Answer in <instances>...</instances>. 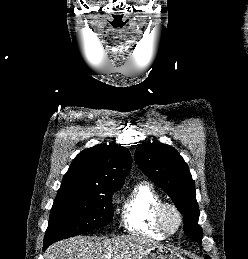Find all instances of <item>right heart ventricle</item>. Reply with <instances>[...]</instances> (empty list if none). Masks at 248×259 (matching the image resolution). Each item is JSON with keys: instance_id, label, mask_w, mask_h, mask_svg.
<instances>
[{"instance_id": "1", "label": "right heart ventricle", "mask_w": 248, "mask_h": 259, "mask_svg": "<svg viewBox=\"0 0 248 259\" xmlns=\"http://www.w3.org/2000/svg\"><path fill=\"white\" fill-rule=\"evenodd\" d=\"M163 199L149 183L136 184L124 201L122 222L124 227L136 234L162 239L165 234L159 229L155 213Z\"/></svg>"}]
</instances>
